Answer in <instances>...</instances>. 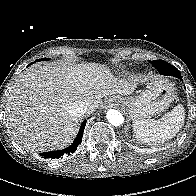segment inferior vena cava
<instances>
[{
	"label": "inferior vena cava",
	"mask_w": 196,
	"mask_h": 196,
	"mask_svg": "<svg viewBox=\"0 0 196 196\" xmlns=\"http://www.w3.org/2000/svg\"><path fill=\"white\" fill-rule=\"evenodd\" d=\"M88 111V106L83 101H75L69 107V113L75 117H82Z\"/></svg>",
	"instance_id": "obj_1"
}]
</instances>
